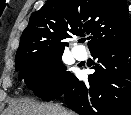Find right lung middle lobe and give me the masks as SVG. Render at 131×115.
<instances>
[{"label": "right lung middle lobe", "mask_w": 131, "mask_h": 115, "mask_svg": "<svg viewBox=\"0 0 131 115\" xmlns=\"http://www.w3.org/2000/svg\"><path fill=\"white\" fill-rule=\"evenodd\" d=\"M63 52L32 53L15 63V70L19 71V80L39 98L48 100L58 98L67 83L74 75L66 71L61 61Z\"/></svg>", "instance_id": "obj_1"}]
</instances>
